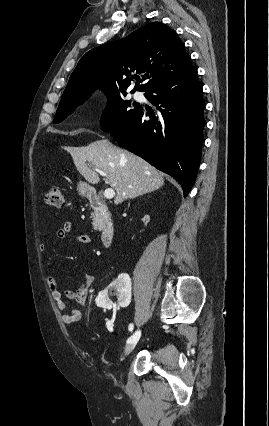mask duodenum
Here are the masks:
<instances>
[{
	"label": "duodenum",
	"instance_id": "obj_1",
	"mask_svg": "<svg viewBox=\"0 0 269 426\" xmlns=\"http://www.w3.org/2000/svg\"><path fill=\"white\" fill-rule=\"evenodd\" d=\"M86 196L90 206L95 211L96 226L101 232L102 243L108 246L112 243L115 233L109 209L100 193L89 191Z\"/></svg>",
	"mask_w": 269,
	"mask_h": 426
}]
</instances>
